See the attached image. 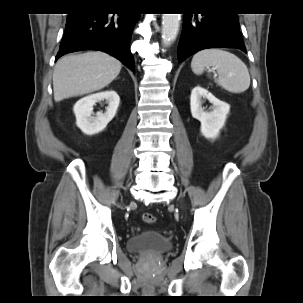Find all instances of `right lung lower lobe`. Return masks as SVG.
Here are the masks:
<instances>
[{
	"instance_id": "obj_1",
	"label": "right lung lower lobe",
	"mask_w": 303,
	"mask_h": 303,
	"mask_svg": "<svg viewBox=\"0 0 303 303\" xmlns=\"http://www.w3.org/2000/svg\"><path fill=\"white\" fill-rule=\"evenodd\" d=\"M118 15L111 17L89 7L70 13L55 61L64 54L75 51L100 50L116 57L129 69L135 71L129 44L139 14Z\"/></svg>"
}]
</instances>
